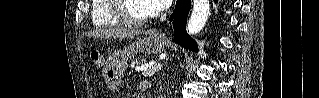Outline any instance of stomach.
Segmentation results:
<instances>
[{
    "label": "stomach",
    "mask_w": 319,
    "mask_h": 98,
    "mask_svg": "<svg viewBox=\"0 0 319 98\" xmlns=\"http://www.w3.org/2000/svg\"><path fill=\"white\" fill-rule=\"evenodd\" d=\"M167 46L168 41L162 35L153 31L147 32L145 37L139 38L124 50L116 52L114 62L103 70L105 83L110 89H116L122 81L123 71L129 59L140 52L148 54L162 53Z\"/></svg>",
    "instance_id": "stomach-1"
}]
</instances>
